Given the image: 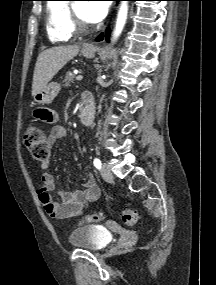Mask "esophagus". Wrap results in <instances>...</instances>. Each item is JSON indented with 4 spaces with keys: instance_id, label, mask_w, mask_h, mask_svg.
Segmentation results:
<instances>
[{
    "instance_id": "1",
    "label": "esophagus",
    "mask_w": 216,
    "mask_h": 285,
    "mask_svg": "<svg viewBox=\"0 0 216 285\" xmlns=\"http://www.w3.org/2000/svg\"><path fill=\"white\" fill-rule=\"evenodd\" d=\"M86 49H93L94 48V43H89L85 45Z\"/></svg>"
}]
</instances>
